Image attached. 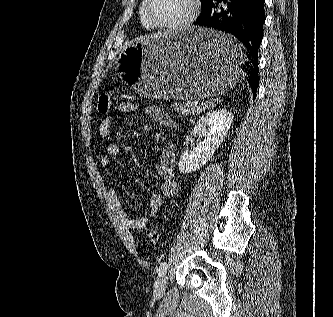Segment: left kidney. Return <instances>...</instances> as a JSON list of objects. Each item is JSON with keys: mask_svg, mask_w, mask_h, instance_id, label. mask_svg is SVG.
<instances>
[{"mask_svg": "<svg viewBox=\"0 0 333 317\" xmlns=\"http://www.w3.org/2000/svg\"><path fill=\"white\" fill-rule=\"evenodd\" d=\"M232 121V114L224 109L209 111L199 117L193 132L203 137V141L194 151L182 153L178 164L180 173H190L203 167L224 140Z\"/></svg>", "mask_w": 333, "mask_h": 317, "instance_id": "left-kidney-1", "label": "left kidney"}]
</instances>
